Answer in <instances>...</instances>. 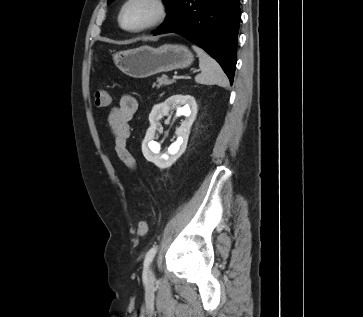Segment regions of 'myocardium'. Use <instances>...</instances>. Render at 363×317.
<instances>
[{"label": "myocardium", "mask_w": 363, "mask_h": 317, "mask_svg": "<svg viewBox=\"0 0 363 317\" xmlns=\"http://www.w3.org/2000/svg\"><path fill=\"white\" fill-rule=\"evenodd\" d=\"M138 0H125L123 4L121 5L119 12H118V24L120 28L126 32L129 33H140L144 32L150 29H153L159 25H161L168 16V6L165 2V0H142L144 2H147L152 5L154 8V14L153 16L144 24L134 27V28H127L123 25V15L126 10V8L131 5L132 3L136 2Z\"/></svg>", "instance_id": "obj_1"}]
</instances>
